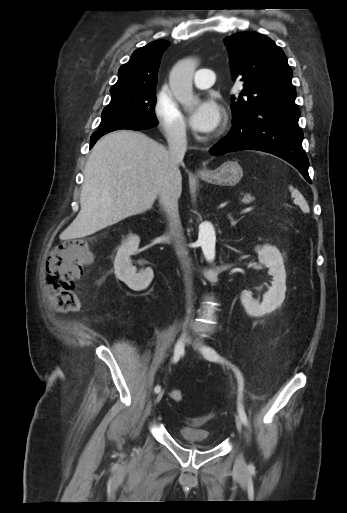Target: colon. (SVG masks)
I'll list each match as a JSON object with an SVG mask.
<instances>
[{"mask_svg": "<svg viewBox=\"0 0 347 513\" xmlns=\"http://www.w3.org/2000/svg\"><path fill=\"white\" fill-rule=\"evenodd\" d=\"M93 261V254L85 240L72 239L60 244L49 257L48 283L56 305L63 310H75L79 299L75 293V282L82 276L83 268ZM170 398L183 401V393L172 389Z\"/></svg>", "mask_w": 347, "mask_h": 513, "instance_id": "1", "label": "colon"}]
</instances>
